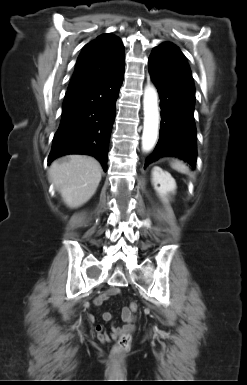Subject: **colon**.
Listing matches in <instances>:
<instances>
[{
  "label": "colon",
  "instance_id": "obj_1",
  "mask_svg": "<svg viewBox=\"0 0 247 385\" xmlns=\"http://www.w3.org/2000/svg\"><path fill=\"white\" fill-rule=\"evenodd\" d=\"M138 309H139L138 304L136 302H132L128 308L130 316L135 314L138 311ZM131 340H132L131 334L129 332H123L112 349L113 355L118 356L124 351H126L130 346Z\"/></svg>",
  "mask_w": 247,
  "mask_h": 385
}]
</instances>
